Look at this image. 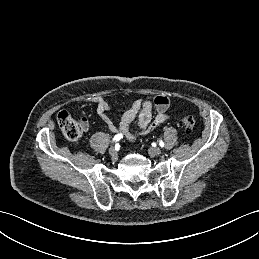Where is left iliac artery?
Masks as SVG:
<instances>
[{
  "mask_svg": "<svg viewBox=\"0 0 259 259\" xmlns=\"http://www.w3.org/2000/svg\"><path fill=\"white\" fill-rule=\"evenodd\" d=\"M159 145H160L161 147H164V142H163V141H160V142H159Z\"/></svg>",
  "mask_w": 259,
  "mask_h": 259,
  "instance_id": "44dca946",
  "label": "left iliac artery"
}]
</instances>
